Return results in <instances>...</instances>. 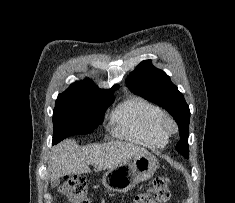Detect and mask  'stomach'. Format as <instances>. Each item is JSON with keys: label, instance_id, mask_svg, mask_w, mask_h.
Here are the masks:
<instances>
[{"label": "stomach", "instance_id": "1", "mask_svg": "<svg viewBox=\"0 0 235 203\" xmlns=\"http://www.w3.org/2000/svg\"><path fill=\"white\" fill-rule=\"evenodd\" d=\"M158 167V161L150 153L139 154L133 163H123L109 169L102 177V184L113 192L126 193L139 182L150 179Z\"/></svg>", "mask_w": 235, "mask_h": 203}]
</instances>
